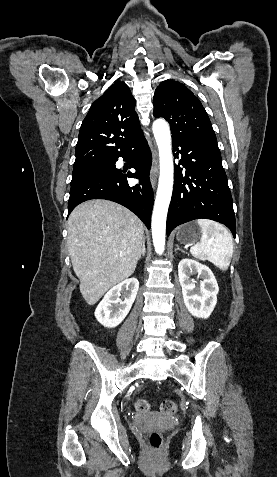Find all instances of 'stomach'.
I'll use <instances>...</instances> for the list:
<instances>
[{
	"instance_id": "stomach-1",
	"label": "stomach",
	"mask_w": 277,
	"mask_h": 477,
	"mask_svg": "<svg viewBox=\"0 0 277 477\" xmlns=\"http://www.w3.org/2000/svg\"><path fill=\"white\" fill-rule=\"evenodd\" d=\"M201 229L195 222H190L178 228L176 239L180 244L191 245L198 241Z\"/></svg>"
}]
</instances>
